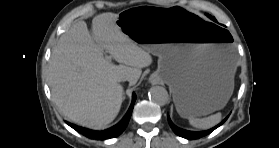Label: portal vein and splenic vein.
I'll use <instances>...</instances> for the list:
<instances>
[{
	"label": "portal vein and splenic vein",
	"instance_id": "18ae733b",
	"mask_svg": "<svg viewBox=\"0 0 279 148\" xmlns=\"http://www.w3.org/2000/svg\"><path fill=\"white\" fill-rule=\"evenodd\" d=\"M106 59H107L108 61H111V56H106Z\"/></svg>",
	"mask_w": 279,
	"mask_h": 148
}]
</instances>
